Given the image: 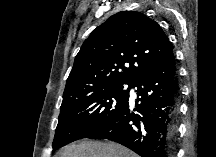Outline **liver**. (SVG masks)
I'll return each instance as SVG.
<instances>
[{
	"label": "liver",
	"instance_id": "obj_1",
	"mask_svg": "<svg viewBox=\"0 0 216 157\" xmlns=\"http://www.w3.org/2000/svg\"><path fill=\"white\" fill-rule=\"evenodd\" d=\"M57 157H137V155L114 142L83 141L64 147Z\"/></svg>",
	"mask_w": 216,
	"mask_h": 157
}]
</instances>
